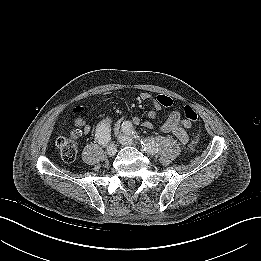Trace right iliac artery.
<instances>
[{
	"label": "right iliac artery",
	"mask_w": 261,
	"mask_h": 261,
	"mask_svg": "<svg viewBox=\"0 0 261 261\" xmlns=\"http://www.w3.org/2000/svg\"><path fill=\"white\" fill-rule=\"evenodd\" d=\"M108 132V123H101V125H99V128L97 129V138H99V142L104 143L106 141Z\"/></svg>",
	"instance_id": "obj_1"
}]
</instances>
